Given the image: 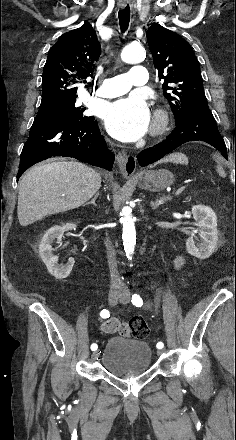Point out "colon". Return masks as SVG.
Returning <instances> with one entry per match:
<instances>
[{"mask_svg": "<svg viewBox=\"0 0 236 440\" xmlns=\"http://www.w3.org/2000/svg\"><path fill=\"white\" fill-rule=\"evenodd\" d=\"M131 329L128 330L135 338H146L149 335V327L141 316H134L131 320Z\"/></svg>", "mask_w": 236, "mask_h": 440, "instance_id": "1", "label": "colon"}]
</instances>
